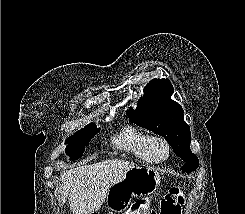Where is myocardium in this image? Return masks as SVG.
Instances as JSON below:
<instances>
[{"label":"myocardium","mask_w":245,"mask_h":214,"mask_svg":"<svg viewBox=\"0 0 245 214\" xmlns=\"http://www.w3.org/2000/svg\"><path fill=\"white\" fill-rule=\"evenodd\" d=\"M155 142H158L164 146V148L166 149L165 157L160 158V159H156V158L152 157V155L150 153V148H151V145ZM145 151H146L147 158L151 163H161V162L166 161L169 158V156L171 154V146H170L169 142L163 136L150 135L147 138L146 143H145Z\"/></svg>","instance_id":"obj_1"}]
</instances>
